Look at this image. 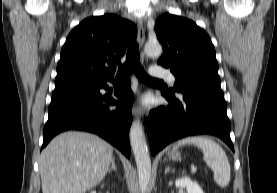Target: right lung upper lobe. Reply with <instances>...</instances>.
Listing matches in <instances>:
<instances>
[{
	"label": "right lung upper lobe",
	"mask_w": 277,
	"mask_h": 193,
	"mask_svg": "<svg viewBox=\"0 0 277 193\" xmlns=\"http://www.w3.org/2000/svg\"><path fill=\"white\" fill-rule=\"evenodd\" d=\"M136 26L115 14L83 20L68 35L57 65L55 89L111 81Z\"/></svg>",
	"instance_id": "cb5924a9"
}]
</instances>
